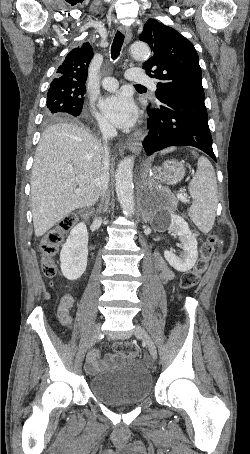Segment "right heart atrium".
Wrapping results in <instances>:
<instances>
[{
  "label": "right heart atrium",
  "instance_id": "d8ad5b80",
  "mask_svg": "<svg viewBox=\"0 0 250 454\" xmlns=\"http://www.w3.org/2000/svg\"><path fill=\"white\" fill-rule=\"evenodd\" d=\"M94 117L96 118V121L101 129H103V130L110 129L108 122L103 117H101L100 115H98L96 113H94Z\"/></svg>",
  "mask_w": 250,
  "mask_h": 454
}]
</instances>
